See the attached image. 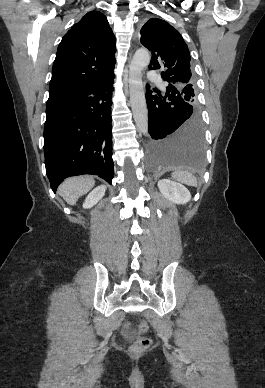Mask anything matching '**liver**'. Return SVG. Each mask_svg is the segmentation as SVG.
<instances>
[{
  "label": "liver",
  "instance_id": "1",
  "mask_svg": "<svg viewBox=\"0 0 265 388\" xmlns=\"http://www.w3.org/2000/svg\"><path fill=\"white\" fill-rule=\"evenodd\" d=\"M95 182L92 176H78V178H67L58 188L60 196L63 200L69 204V206H74L78 198L87 194L91 188H93Z\"/></svg>",
  "mask_w": 265,
  "mask_h": 388
}]
</instances>
